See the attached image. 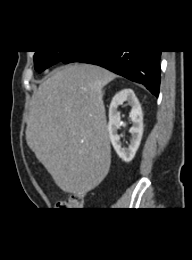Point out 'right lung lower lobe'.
Returning a JSON list of instances; mask_svg holds the SVG:
<instances>
[{"instance_id":"right-lung-lower-lobe-1","label":"right lung lower lobe","mask_w":192,"mask_h":260,"mask_svg":"<svg viewBox=\"0 0 192 260\" xmlns=\"http://www.w3.org/2000/svg\"><path fill=\"white\" fill-rule=\"evenodd\" d=\"M161 51H74L62 60L64 64L84 62L102 66L116 74L143 84L156 97L159 95Z\"/></svg>"}]
</instances>
